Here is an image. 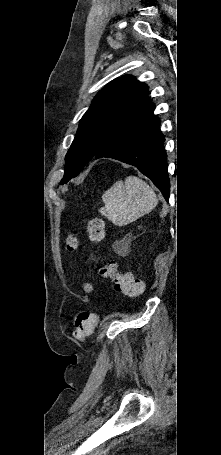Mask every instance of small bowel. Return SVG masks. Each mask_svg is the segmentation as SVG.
<instances>
[{
	"label": "small bowel",
	"mask_w": 221,
	"mask_h": 455,
	"mask_svg": "<svg viewBox=\"0 0 221 455\" xmlns=\"http://www.w3.org/2000/svg\"><path fill=\"white\" fill-rule=\"evenodd\" d=\"M84 288L87 292H92L93 290V287L90 284H85Z\"/></svg>",
	"instance_id": "obj_1"
}]
</instances>
